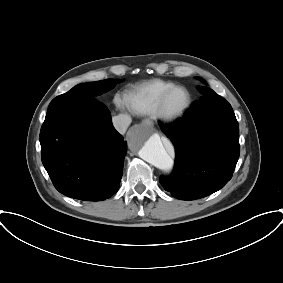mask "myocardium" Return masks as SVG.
Here are the masks:
<instances>
[{
	"label": "myocardium",
	"mask_w": 283,
	"mask_h": 283,
	"mask_svg": "<svg viewBox=\"0 0 283 283\" xmlns=\"http://www.w3.org/2000/svg\"><path fill=\"white\" fill-rule=\"evenodd\" d=\"M178 91H181L185 94V102L177 109L169 108L167 105L169 98ZM191 103V94L185 87L173 86L161 95L157 102L154 114L163 121L174 122L185 115V113L190 108Z\"/></svg>",
	"instance_id": "obj_1"
}]
</instances>
